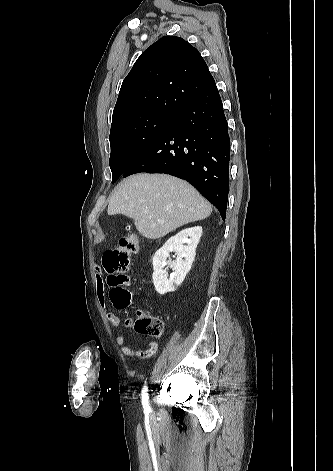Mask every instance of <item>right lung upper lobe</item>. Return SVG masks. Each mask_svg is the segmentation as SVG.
<instances>
[{
	"mask_svg": "<svg viewBox=\"0 0 333 471\" xmlns=\"http://www.w3.org/2000/svg\"><path fill=\"white\" fill-rule=\"evenodd\" d=\"M213 85L195 47L179 37H162L140 55L124 79L112 122L146 111L176 114Z\"/></svg>",
	"mask_w": 333,
	"mask_h": 471,
	"instance_id": "right-lung-upper-lobe-1",
	"label": "right lung upper lobe"
}]
</instances>
